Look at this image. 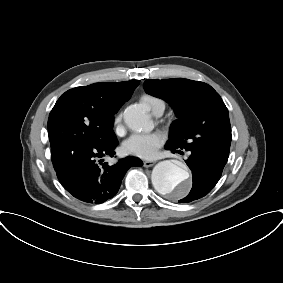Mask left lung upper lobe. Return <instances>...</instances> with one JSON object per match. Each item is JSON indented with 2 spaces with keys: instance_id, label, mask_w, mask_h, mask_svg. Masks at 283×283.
Returning <instances> with one entry per match:
<instances>
[{
  "instance_id": "5c2ea615",
  "label": "left lung upper lobe",
  "mask_w": 283,
  "mask_h": 283,
  "mask_svg": "<svg viewBox=\"0 0 283 283\" xmlns=\"http://www.w3.org/2000/svg\"><path fill=\"white\" fill-rule=\"evenodd\" d=\"M144 89L168 102L176 113L167 145L213 157L229 156L232 136L228 109L210 85L182 78L148 79Z\"/></svg>"
}]
</instances>
